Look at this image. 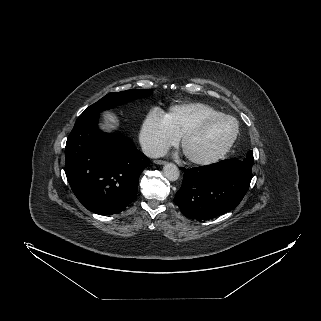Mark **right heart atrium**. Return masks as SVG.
<instances>
[{"label":"right heart atrium","instance_id":"obj_1","mask_svg":"<svg viewBox=\"0 0 321 321\" xmlns=\"http://www.w3.org/2000/svg\"><path fill=\"white\" fill-rule=\"evenodd\" d=\"M140 143L146 154L157 156L177 142L167 129L160 110L151 111L142 123Z\"/></svg>","mask_w":321,"mask_h":321}]
</instances>
